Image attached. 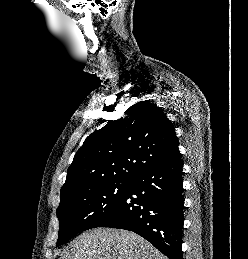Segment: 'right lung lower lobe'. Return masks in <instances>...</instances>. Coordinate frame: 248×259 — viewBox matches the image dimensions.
Segmentation results:
<instances>
[{
  "label": "right lung lower lobe",
  "mask_w": 248,
  "mask_h": 259,
  "mask_svg": "<svg viewBox=\"0 0 248 259\" xmlns=\"http://www.w3.org/2000/svg\"><path fill=\"white\" fill-rule=\"evenodd\" d=\"M182 174L180 156L140 173L114 212L97 227L133 231L169 259H183Z\"/></svg>",
  "instance_id": "right-lung-lower-lobe-1"
}]
</instances>
